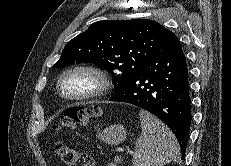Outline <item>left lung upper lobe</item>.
I'll list each match as a JSON object with an SVG mask.
<instances>
[{"mask_svg":"<svg viewBox=\"0 0 231 166\" xmlns=\"http://www.w3.org/2000/svg\"><path fill=\"white\" fill-rule=\"evenodd\" d=\"M175 34L147 19L103 20L70 40L53 67L92 62L113 78L114 92L148 64Z\"/></svg>","mask_w":231,"mask_h":166,"instance_id":"left-lung-upper-lobe-1","label":"left lung upper lobe"}]
</instances>
